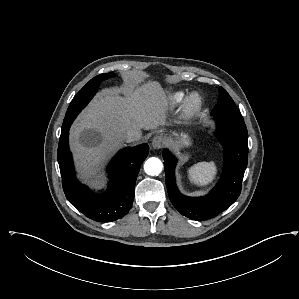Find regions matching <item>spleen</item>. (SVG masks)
Segmentation results:
<instances>
[{"mask_svg":"<svg viewBox=\"0 0 299 299\" xmlns=\"http://www.w3.org/2000/svg\"><path fill=\"white\" fill-rule=\"evenodd\" d=\"M217 174V167L214 161L199 162L188 170V176L192 183L198 186H207L213 182Z\"/></svg>","mask_w":299,"mask_h":299,"instance_id":"1","label":"spleen"}]
</instances>
